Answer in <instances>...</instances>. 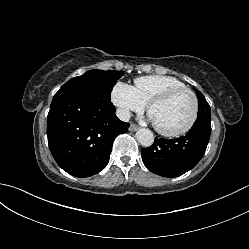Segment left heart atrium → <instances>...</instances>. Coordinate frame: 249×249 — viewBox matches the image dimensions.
Returning a JSON list of instances; mask_svg holds the SVG:
<instances>
[{
  "instance_id": "1",
  "label": "left heart atrium",
  "mask_w": 249,
  "mask_h": 249,
  "mask_svg": "<svg viewBox=\"0 0 249 249\" xmlns=\"http://www.w3.org/2000/svg\"><path fill=\"white\" fill-rule=\"evenodd\" d=\"M151 121L154 123L153 119L151 118Z\"/></svg>"
}]
</instances>
